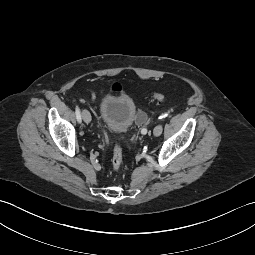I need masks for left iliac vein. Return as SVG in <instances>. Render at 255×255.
Instances as JSON below:
<instances>
[{
	"mask_svg": "<svg viewBox=\"0 0 255 255\" xmlns=\"http://www.w3.org/2000/svg\"><path fill=\"white\" fill-rule=\"evenodd\" d=\"M162 125H157L155 128H154V130H153V134L155 135V136H159V135H161V133H162Z\"/></svg>",
	"mask_w": 255,
	"mask_h": 255,
	"instance_id": "1",
	"label": "left iliac vein"
}]
</instances>
